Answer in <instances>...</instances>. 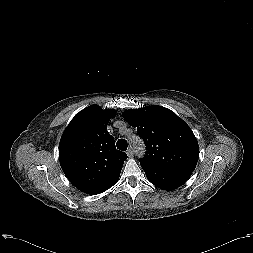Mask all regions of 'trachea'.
I'll return each instance as SVG.
<instances>
[{"label":"trachea","mask_w":253,"mask_h":253,"mask_svg":"<svg viewBox=\"0 0 253 253\" xmlns=\"http://www.w3.org/2000/svg\"><path fill=\"white\" fill-rule=\"evenodd\" d=\"M116 146L119 150L121 151H126L127 150V141L125 139H119L116 143Z\"/></svg>","instance_id":"1"}]
</instances>
